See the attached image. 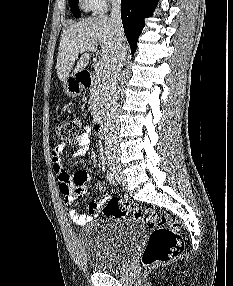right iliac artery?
I'll list each match as a JSON object with an SVG mask.
<instances>
[{
	"mask_svg": "<svg viewBox=\"0 0 233 286\" xmlns=\"http://www.w3.org/2000/svg\"><path fill=\"white\" fill-rule=\"evenodd\" d=\"M107 179L109 180L110 183L114 184V174L111 171H107Z\"/></svg>",
	"mask_w": 233,
	"mask_h": 286,
	"instance_id": "1",
	"label": "right iliac artery"
}]
</instances>
